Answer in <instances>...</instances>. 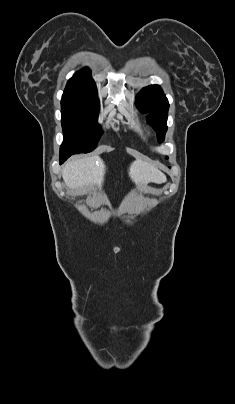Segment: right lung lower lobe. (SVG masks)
I'll return each mask as SVG.
<instances>
[{"mask_svg":"<svg viewBox=\"0 0 235 404\" xmlns=\"http://www.w3.org/2000/svg\"><path fill=\"white\" fill-rule=\"evenodd\" d=\"M71 155L60 156V164L64 163Z\"/></svg>","mask_w":235,"mask_h":404,"instance_id":"obj_1","label":"right lung lower lobe"}]
</instances>
